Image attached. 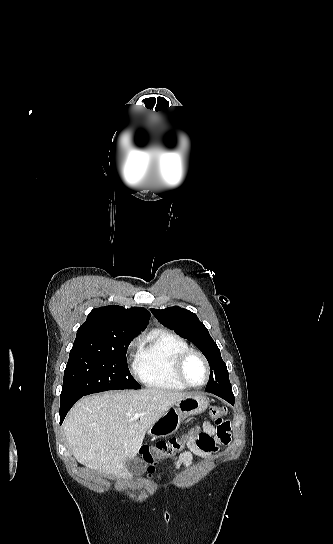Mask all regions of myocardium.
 Segmentation results:
<instances>
[{
	"label": "myocardium",
	"mask_w": 333,
	"mask_h": 544,
	"mask_svg": "<svg viewBox=\"0 0 333 544\" xmlns=\"http://www.w3.org/2000/svg\"><path fill=\"white\" fill-rule=\"evenodd\" d=\"M193 356H196V357L200 358L201 361L203 362L204 366H205V369H206V379L200 385L192 384L191 382L188 381V379L185 376L186 363ZM173 370H174V375H175L176 379L182 385H184L187 388H194V389L202 388L205 385H207V383L209 382L210 377H211V368H210V364H209L207 358L200 351L190 349V348L183 351V352H181L176 357L175 362H174V366H173Z\"/></svg>",
	"instance_id": "1"
}]
</instances>
